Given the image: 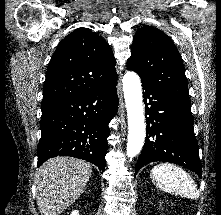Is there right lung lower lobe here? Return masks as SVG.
<instances>
[{
  "instance_id": "right-lung-lower-lobe-1",
  "label": "right lung lower lobe",
  "mask_w": 221,
  "mask_h": 215,
  "mask_svg": "<svg viewBox=\"0 0 221 215\" xmlns=\"http://www.w3.org/2000/svg\"><path fill=\"white\" fill-rule=\"evenodd\" d=\"M117 78L64 103L42 109L38 164L56 156H72L105 169L108 124L118 105Z\"/></svg>"
}]
</instances>
